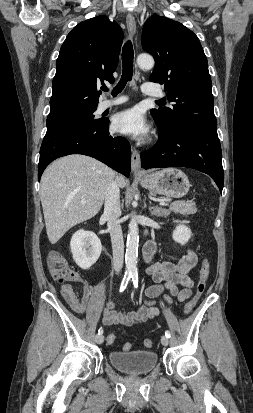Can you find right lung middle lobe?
<instances>
[{"label":"right lung middle lobe","mask_w":253,"mask_h":413,"mask_svg":"<svg viewBox=\"0 0 253 413\" xmlns=\"http://www.w3.org/2000/svg\"><path fill=\"white\" fill-rule=\"evenodd\" d=\"M96 108L70 111L54 116H48L47 132L51 133L63 129L89 128L100 125L103 120L95 119L93 113Z\"/></svg>","instance_id":"right-lung-middle-lobe-1"}]
</instances>
